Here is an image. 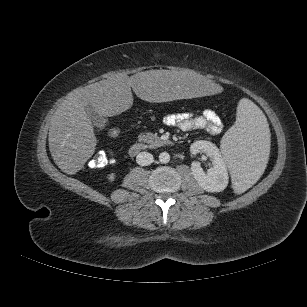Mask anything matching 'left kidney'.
Segmentation results:
<instances>
[{
  "mask_svg": "<svg viewBox=\"0 0 307 307\" xmlns=\"http://www.w3.org/2000/svg\"><path fill=\"white\" fill-rule=\"evenodd\" d=\"M190 151L193 155L205 153L211 158L212 167L205 172L199 162H192L191 171L197 183L207 192H221L228 185V171L217 146L209 141L194 142Z\"/></svg>",
  "mask_w": 307,
  "mask_h": 307,
  "instance_id": "obj_1",
  "label": "left kidney"
}]
</instances>
